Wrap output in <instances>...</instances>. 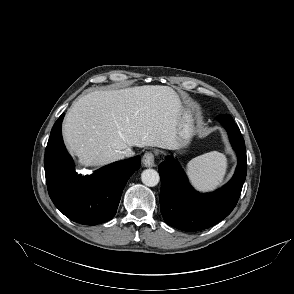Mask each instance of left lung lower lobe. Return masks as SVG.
Masks as SVG:
<instances>
[{
	"mask_svg": "<svg viewBox=\"0 0 294 294\" xmlns=\"http://www.w3.org/2000/svg\"><path fill=\"white\" fill-rule=\"evenodd\" d=\"M218 118L238 155L235 174L226 185L212 193H199L172 157L158 166L162 216L167 224L183 231L204 230L227 217L236 206L246 179V149L241 132L231 115L223 114Z\"/></svg>",
	"mask_w": 294,
	"mask_h": 294,
	"instance_id": "1",
	"label": "left lung lower lobe"
}]
</instances>
